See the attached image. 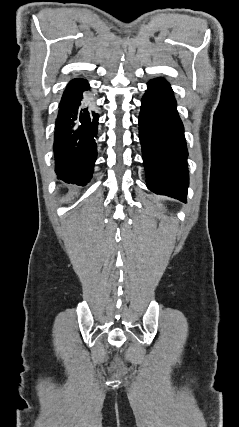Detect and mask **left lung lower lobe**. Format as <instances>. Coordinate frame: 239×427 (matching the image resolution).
I'll return each instance as SVG.
<instances>
[{
  "instance_id": "1",
  "label": "left lung lower lobe",
  "mask_w": 239,
  "mask_h": 427,
  "mask_svg": "<svg viewBox=\"0 0 239 427\" xmlns=\"http://www.w3.org/2000/svg\"><path fill=\"white\" fill-rule=\"evenodd\" d=\"M139 138L147 187L186 202L189 176L184 127L173 91L163 78L148 83L141 101Z\"/></svg>"
}]
</instances>
